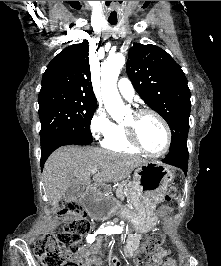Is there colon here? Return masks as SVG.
<instances>
[{"label": "colon", "mask_w": 221, "mask_h": 266, "mask_svg": "<svg viewBox=\"0 0 221 266\" xmlns=\"http://www.w3.org/2000/svg\"><path fill=\"white\" fill-rule=\"evenodd\" d=\"M175 195L176 190L171 188L166 199L170 200ZM60 214L69 219L63 230L57 235H43L35 243V254L43 266H77L70 256L82 253V239L91 228L84 208L77 202H67ZM163 241L164 237L161 233L149 234L143 246L135 254L136 266H147L150 257L157 252ZM166 266H176L175 261L172 258L169 259Z\"/></svg>", "instance_id": "5ec220e1"}]
</instances>
